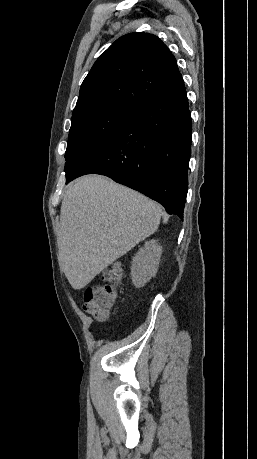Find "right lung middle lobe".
I'll return each mask as SVG.
<instances>
[{"label": "right lung middle lobe", "mask_w": 257, "mask_h": 459, "mask_svg": "<svg viewBox=\"0 0 257 459\" xmlns=\"http://www.w3.org/2000/svg\"><path fill=\"white\" fill-rule=\"evenodd\" d=\"M135 109L108 106L72 119L65 153L66 178L107 145L131 119Z\"/></svg>", "instance_id": "right-lung-middle-lobe-1"}]
</instances>
